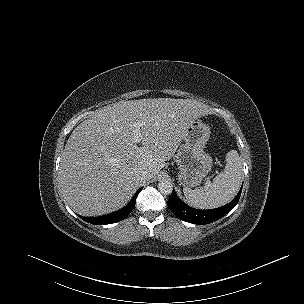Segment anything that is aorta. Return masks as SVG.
<instances>
[{
  "mask_svg": "<svg viewBox=\"0 0 304 304\" xmlns=\"http://www.w3.org/2000/svg\"><path fill=\"white\" fill-rule=\"evenodd\" d=\"M158 189L162 194L169 195L173 191V184L168 179H162L158 183Z\"/></svg>",
  "mask_w": 304,
  "mask_h": 304,
  "instance_id": "obj_1",
  "label": "aorta"
}]
</instances>
